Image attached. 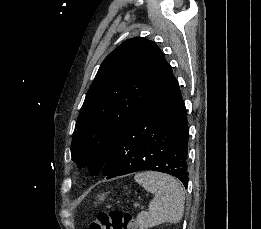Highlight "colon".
<instances>
[{"label":"colon","instance_id":"5ec220e1","mask_svg":"<svg viewBox=\"0 0 261 229\" xmlns=\"http://www.w3.org/2000/svg\"><path fill=\"white\" fill-rule=\"evenodd\" d=\"M132 215L121 209L101 211L88 223L87 229H134Z\"/></svg>","mask_w":261,"mask_h":229}]
</instances>
